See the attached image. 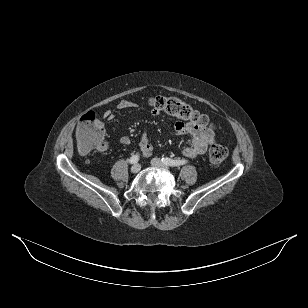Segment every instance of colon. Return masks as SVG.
Here are the masks:
<instances>
[{
	"label": "colon",
	"instance_id": "5ec220e1",
	"mask_svg": "<svg viewBox=\"0 0 308 308\" xmlns=\"http://www.w3.org/2000/svg\"><path fill=\"white\" fill-rule=\"evenodd\" d=\"M155 112H164L183 122L192 123L201 127L210 128L211 124L206 115L194 109L191 105L176 97L155 96L149 101ZM78 148L82 153H89L98 149L104 139V128L100 119L92 111L86 112L76 128ZM227 148L220 144H213L209 150L211 166H219L227 157Z\"/></svg>",
	"mask_w": 308,
	"mask_h": 308
}]
</instances>
